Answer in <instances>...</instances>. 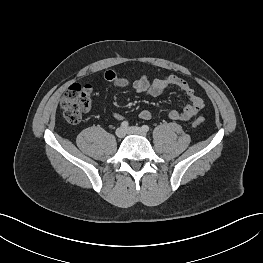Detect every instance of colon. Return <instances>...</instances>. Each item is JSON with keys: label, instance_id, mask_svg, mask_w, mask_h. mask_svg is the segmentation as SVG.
I'll list each match as a JSON object with an SVG mask.
<instances>
[{"label": "colon", "instance_id": "colon-1", "mask_svg": "<svg viewBox=\"0 0 263 263\" xmlns=\"http://www.w3.org/2000/svg\"><path fill=\"white\" fill-rule=\"evenodd\" d=\"M91 105V89L88 85L75 84L70 86L64 93L60 107L64 118L71 124H77L82 116L89 110ZM203 123V119H197L194 126L198 127Z\"/></svg>", "mask_w": 263, "mask_h": 263}]
</instances>
